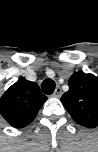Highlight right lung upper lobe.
<instances>
[{
  "label": "right lung upper lobe",
  "instance_id": "cb5924a9",
  "mask_svg": "<svg viewBox=\"0 0 98 152\" xmlns=\"http://www.w3.org/2000/svg\"><path fill=\"white\" fill-rule=\"evenodd\" d=\"M47 97L38 84L21 77L0 98V114L15 128L30 124Z\"/></svg>",
  "mask_w": 98,
  "mask_h": 152
}]
</instances>
